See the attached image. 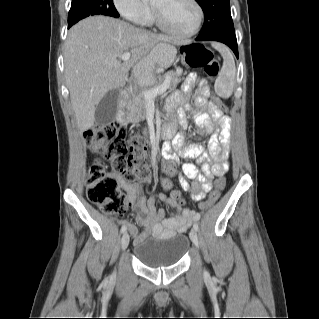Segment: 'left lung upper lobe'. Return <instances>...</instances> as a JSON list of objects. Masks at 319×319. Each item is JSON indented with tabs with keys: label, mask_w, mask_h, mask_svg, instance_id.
<instances>
[{
	"label": "left lung upper lobe",
	"mask_w": 319,
	"mask_h": 319,
	"mask_svg": "<svg viewBox=\"0 0 319 319\" xmlns=\"http://www.w3.org/2000/svg\"><path fill=\"white\" fill-rule=\"evenodd\" d=\"M201 6L205 21L199 41L236 39L229 0H195Z\"/></svg>",
	"instance_id": "5c2ea615"
}]
</instances>
